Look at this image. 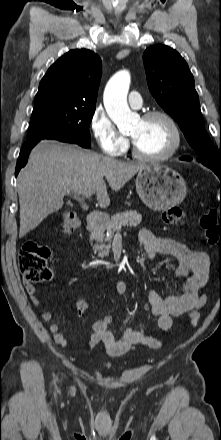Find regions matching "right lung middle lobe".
<instances>
[{
	"label": "right lung middle lobe",
	"instance_id": "obj_1",
	"mask_svg": "<svg viewBox=\"0 0 221 440\" xmlns=\"http://www.w3.org/2000/svg\"><path fill=\"white\" fill-rule=\"evenodd\" d=\"M95 106L73 105L58 101L35 103L27 140L68 139L90 148L89 125Z\"/></svg>",
	"mask_w": 221,
	"mask_h": 440
}]
</instances>
